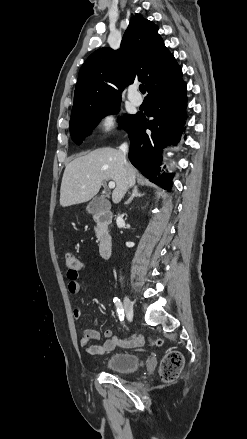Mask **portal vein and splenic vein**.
I'll list each match as a JSON object with an SVG mask.
<instances>
[{
	"mask_svg": "<svg viewBox=\"0 0 247 439\" xmlns=\"http://www.w3.org/2000/svg\"><path fill=\"white\" fill-rule=\"evenodd\" d=\"M108 186H109L110 189L115 188V182L110 181L109 184H108Z\"/></svg>",
	"mask_w": 247,
	"mask_h": 439,
	"instance_id": "obj_1",
	"label": "portal vein and splenic vein"
}]
</instances>
